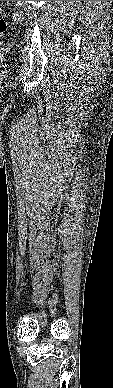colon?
I'll return each instance as SVG.
<instances>
[{"mask_svg": "<svg viewBox=\"0 0 113 388\" xmlns=\"http://www.w3.org/2000/svg\"><path fill=\"white\" fill-rule=\"evenodd\" d=\"M6 28H7V24L4 20L2 12H0V36H2Z\"/></svg>", "mask_w": 113, "mask_h": 388, "instance_id": "obj_1", "label": "colon"}]
</instances>
